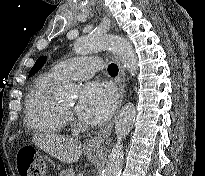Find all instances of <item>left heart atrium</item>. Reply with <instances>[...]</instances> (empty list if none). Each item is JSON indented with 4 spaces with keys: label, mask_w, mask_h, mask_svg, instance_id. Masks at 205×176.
Returning <instances> with one entry per match:
<instances>
[{
    "label": "left heart atrium",
    "mask_w": 205,
    "mask_h": 176,
    "mask_svg": "<svg viewBox=\"0 0 205 176\" xmlns=\"http://www.w3.org/2000/svg\"><path fill=\"white\" fill-rule=\"evenodd\" d=\"M116 103L114 89L102 81H90L83 85L77 105L78 114L87 122L104 123Z\"/></svg>",
    "instance_id": "obj_1"
}]
</instances>
